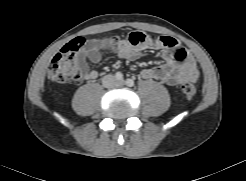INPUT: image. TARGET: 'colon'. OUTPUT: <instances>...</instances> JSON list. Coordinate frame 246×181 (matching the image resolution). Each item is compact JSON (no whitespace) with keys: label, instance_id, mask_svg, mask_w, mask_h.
I'll use <instances>...</instances> for the list:
<instances>
[{"label":"colon","instance_id":"colon-1","mask_svg":"<svg viewBox=\"0 0 246 181\" xmlns=\"http://www.w3.org/2000/svg\"><path fill=\"white\" fill-rule=\"evenodd\" d=\"M160 38L144 32H132L128 36L130 43L135 46L156 43ZM83 44L84 38L77 37L53 57L48 67L50 80L56 83H66L83 79L85 76L83 61L76 54ZM181 90L188 99L193 98L197 93L196 85L192 81L184 82Z\"/></svg>","mask_w":246,"mask_h":181}]
</instances>
